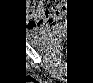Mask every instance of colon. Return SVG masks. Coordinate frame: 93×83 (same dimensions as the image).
Returning a JSON list of instances; mask_svg holds the SVG:
<instances>
[{
	"mask_svg": "<svg viewBox=\"0 0 93 83\" xmlns=\"http://www.w3.org/2000/svg\"><path fill=\"white\" fill-rule=\"evenodd\" d=\"M63 7L61 11H65ZM24 11L26 12L29 19L35 24L50 23L54 20L55 16L60 12L58 9H39L37 7L25 6Z\"/></svg>",
	"mask_w": 93,
	"mask_h": 83,
	"instance_id": "5ec220e1",
	"label": "colon"
}]
</instances>
